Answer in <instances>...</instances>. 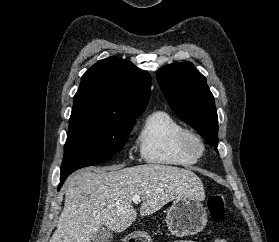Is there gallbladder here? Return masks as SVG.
Wrapping results in <instances>:
<instances>
[{"label": "gallbladder", "mask_w": 279, "mask_h": 242, "mask_svg": "<svg viewBox=\"0 0 279 242\" xmlns=\"http://www.w3.org/2000/svg\"><path fill=\"white\" fill-rule=\"evenodd\" d=\"M113 238L112 231L107 228H100L92 238L93 242H110Z\"/></svg>", "instance_id": "bac80fb5"}]
</instances>
